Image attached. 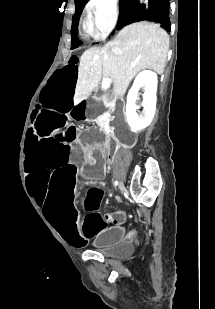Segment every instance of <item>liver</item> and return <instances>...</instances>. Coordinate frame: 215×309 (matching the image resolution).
<instances>
[{
	"mask_svg": "<svg viewBox=\"0 0 215 309\" xmlns=\"http://www.w3.org/2000/svg\"><path fill=\"white\" fill-rule=\"evenodd\" d=\"M168 50L166 30L146 20L124 26L102 48H87L78 66L75 106L90 96L101 78H112L113 94L123 96L132 78L143 68L162 74Z\"/></svg>",
	"mask_w": 215,
	"mask_h": 309,
	"instance_id": "1",
	"label": "liver"
}]
</instances>
